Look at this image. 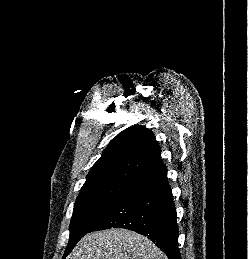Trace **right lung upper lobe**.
Instances as JSON below:
<instances>
[{"instance_id":"obj_1","label":"right lung upper lobe","mask_w":248,"mask_h":259,"mask_svg":"<svg viewBox=\"0 0 248 259\" xmlns=\"http://www.w3.org/2000/svg\"><path fill=\"white\" fill-rule=\"evenodd\" d=\"M160 152L159 144L149 129L129 127L110 142L90 170L83 187L112 181L133 185L166 168Z\"/></svg>"}]
</instances>
